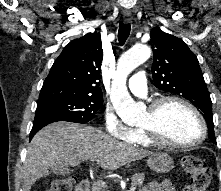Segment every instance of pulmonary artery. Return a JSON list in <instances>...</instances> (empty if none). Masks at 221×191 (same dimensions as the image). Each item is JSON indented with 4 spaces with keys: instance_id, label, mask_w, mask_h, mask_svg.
<instances>
[{
    "instance_id": "obj_1",
    "label": "pulmonary artery",
    "mask_w": 221,
    "mask_h": 191,
    "mask_svg": "<svg viewBox=\"0 0 221 191\" xmlns=\"http://www.w3.org/2000/svg\"><path fill=\"white\" fill-rule=\"evenodd\" d=\"M128 87L133 94L137 96H145L147 94L145 72L141 70L133 75L128 82Z\"/></svg>"
}]
</instances>
